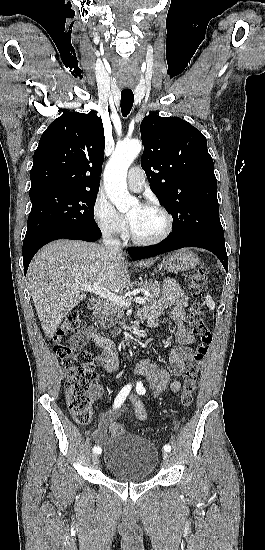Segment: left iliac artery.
Returning <instances> with one entry per match:
<instances>
[{"instance_id":"left-iliac-artery-1","label":"left iliac artery","mask_w":265,"mask_h":550,"mask_svg":"<svg viewBox=\"0 0 265 550\" xmlns=\"http://www.w3.org/2000/svg\"><path fill=\"white\" fill-rule=\"evenodd\" d=\"M136 391L139 395H144L146 390L143 387V384L141 382H138L136 385ZM163 449L167 452L171 451V446L169 444L164 445Z\"/></svg>"}]
</instances>
